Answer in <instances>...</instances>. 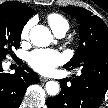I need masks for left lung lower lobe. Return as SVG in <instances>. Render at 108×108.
<instances>
[{"mask_svg":"<svg viewBox=\"0 0 108 108\" xmlns=\"http://www.w3.org/2000/svg\"><path fill=\"white\" fill-rule=\"evenodd\" d=\"M81 68L80 76L69 79L71 84L67 83L68 78L60 80L61 92L47 99L48 108H97L100 105L108 91V63L85 64Z\"/></svg>","mask_w":108,"mask_h":108,"instance_id":"1","label":"left lung lower lobe"}]
</instances>
